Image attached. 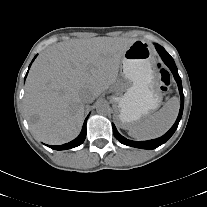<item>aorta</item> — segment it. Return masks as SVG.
Instances as JSON below:
<instances>
[{
	"mask_svg": "<svg viewBox=\"0 0 207 207\" xmlns=\"http://www.w3.org/2000/svg\"><path fill=\"white\" fill-rule=\"evenodd\" d=\"M96 111L100 115H108L111 112V108L106 102H101L96 106Z\"/></svg>",
	"mask_w": 207,
	"mask_h": 207,
	"instance_id": "aorta-1",
	"label": "aorta"
}]
</instances>
